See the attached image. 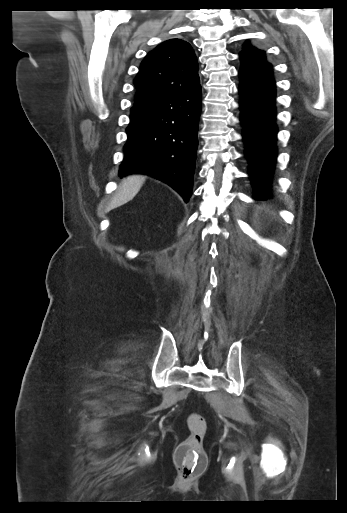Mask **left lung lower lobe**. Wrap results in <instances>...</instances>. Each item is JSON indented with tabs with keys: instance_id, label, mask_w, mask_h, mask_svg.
<instances>
[{
	"instance_id": "0a47b994",
	"label": "left lung lower lobe",
	"mask_w": 347,
	"mask_h": 513,
	"mask_svg": "<svg viewBox=\"0 0 347 513\" xmlns=\"http://www.w3.org/2000/svg\"><path fill=\"white\" fill-rule=\"evenodd\" d=\"M241 123L250 162V177L256 188V199L270 196L269 188L277 157L275 124V82L271 64L255 57H240Z\"/></svg>"
}]
</instances>
